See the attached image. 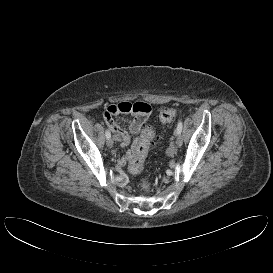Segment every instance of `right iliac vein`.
Listing matches in <instances>:
<instances>
[{"mask_svg":"<svg viewBox=\"0 0 273 273\" xmlns=\"http://www.w3.org/2000/svg\"><path fill=\"white\" fill-rule=\"evenodd\" d=\"M106 144L109 148H112L114 145V142L111 138L107 139Z\"/></svg>","mask_w":273,"mask_h":273,"instance_id":"obj_1","label":"right iliac vein"}]
</instances>
